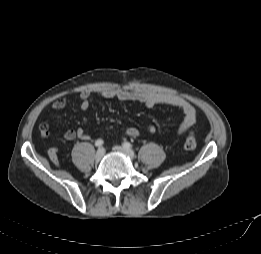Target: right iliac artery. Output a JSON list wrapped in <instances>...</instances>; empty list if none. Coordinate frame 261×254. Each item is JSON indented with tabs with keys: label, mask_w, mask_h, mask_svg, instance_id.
Listing matches in <instances>:
<instances>
[{
	"label": "right iliac artery",
	"mask_w": 261,
	"mask_h": 254,
	"mask_svg": "<svg viewBox=\"0 0 261 254\" xmlns=\"http://www.w3.org/2000/svg\"><path fill=\"white\" fill-rule=\"evenodd\" d=\"M103 140L102 139H98V140H96V142H95V146L96 147H101L102 145H103Z\"/></svg>",
	"instance_id": "right-iliac-artery-1"
}]
</instances>
